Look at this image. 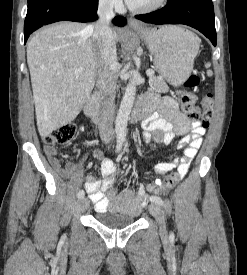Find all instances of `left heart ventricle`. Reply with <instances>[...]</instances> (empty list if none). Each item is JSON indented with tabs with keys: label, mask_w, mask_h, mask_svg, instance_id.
Listing matches in <instances>:
<instances>
[{
	"label": "left heart ventricle",
	"mask_w": 247,
	"mask_h": 275,
	"mask_svg": "<svg viewBox=\"0 0 247 275\" xmlns=\"http://www.w3.org/2000/svg\"><path fill=\"white\" fill-rule=\"evenodd\" d=\"M157 0H132L131 4L134 7H146L153 4Z\"/></svg>",
	"instance_id": "b2bd125f"
}]
</instances>
